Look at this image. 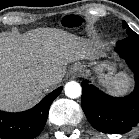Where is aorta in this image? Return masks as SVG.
Wrapping results in <instances>:
<instances>
[{"label":"aorta","instance_id":"762f6f07","mask_svg":"<svg viewBox=\"0 0 139 139\" xmlns=\"http://www.w3.org/2000/svg\"><path fill=\"white\" fill-rule=\"evenodd\" d=\"M64 91L66 96L72 99L78 98L82 94L81 85L75 81L66 83Z\"/></svg>","mask_w":139,"mask_h":139}]
</instances>
